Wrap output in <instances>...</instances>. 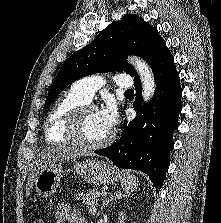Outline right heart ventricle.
Returning a JSON list of instances; mask_svg holds the SVG:
<instances>
[{"label": "right heart ventricle", "instance_id": "right-heart-ventricle-1", "mask_svg": "<svg viewBox=\"0 0 221 223\" xmlns=\"http://www.w3.org/2000/svg\"><path fill=\"white\" fill-rule=\"evenodd\" d=\"M87 103L72 89L65 91L55 101L44 123V136L48 143H69L65 125L69 113L79 105Z\"/></svg>", "mask_w": 221, "mask_h": 223}]
</instances>
